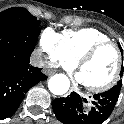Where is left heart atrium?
<instances>
[{"label":"left heart atrium","instance_id":"left-heart-atrium-1","mask_svg":"<svg viewBox=\"0 0 124 124\" xmlns=\"http://www.w3.org/2000/svg\"><path fill=\"white\" fill-rule=\"evenodd\" d=\"M76 80H77L79 83L84 84L80 73H78V74L76 75Z\"/></svg>","mask_w":124,"mask_h":124}]
</instances>
